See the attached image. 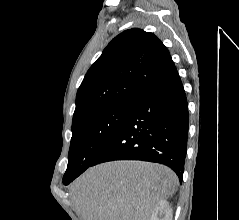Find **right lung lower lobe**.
Listing matches in <instances>:
<instances>
[{
    "label": "right lung lower lobe",
    "instance_id": "98d812e1",
    "mask_svg": "<svg viewBox=\"0 0 239 220\" xmlns=\"http://www.w3.org/2000/svg\"><path fill=\"white\" fill-rule=\"evenodd\" d=\"M188 105L177 70L141 93L119 128L91 166L112 160L164 164L179 177L184 172Z\"/></svg>",
    "mask_w": 239,
    "mask_h": 220
}]
</instances>
